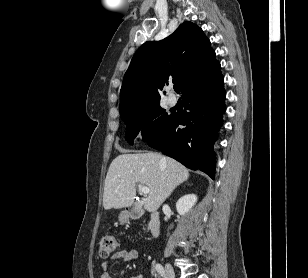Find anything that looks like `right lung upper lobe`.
Masks as SVG:
<instances>
[{"label": "right lung upper lobe", "mask_w": 308, "mask_h": 278, "mask_svg": "<svg viewBox=\"0 0 308 278\" xmlns=\"http://www.w3.org/2000/svg\"><path fill=\"white\" fill-rule=\"evenodd\" d=\"M220 69L202 29L192 22H184L164 40L146 42L137 50L124 75L120 115L159 103L158 89L169 78L180 83L184 95L214 78Z\"/></svg>", "instance_id": "right-lung-upper-lobe-1"}]
</instances>
